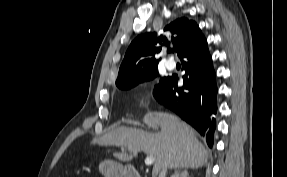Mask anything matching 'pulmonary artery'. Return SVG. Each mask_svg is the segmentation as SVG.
Returning a JSON list of instances; mask_svg holds the SVG:
<instances>
[{
    "mask_svg": "<svg viewBox=\"0 0 287 177\" xmlns=\"http://www.w3.org/2000/svg\"><path fill=\"white\" fill-rule=\"evenodd\" d=\"M166 67H167L168 70H173L176 67V63L174 62L173 59H169L166 62Z\"/></svg>",
    "mask_w": 287,
    "mask_h": 177,
    "instance_id": "pulmonary-artery-1",
    "label": "pulmonary artery"
}]
</instances>
